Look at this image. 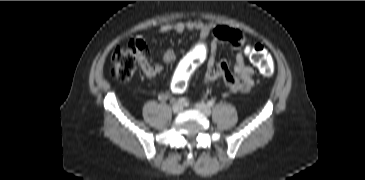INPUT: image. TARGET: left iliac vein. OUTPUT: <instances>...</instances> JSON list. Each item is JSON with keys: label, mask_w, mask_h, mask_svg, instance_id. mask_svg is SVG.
<instances>
[{"label": "left iliac vein", "mask_w": 365, "mask_h": 180, "mask_svg": "<svg viewBox=\"0 0 365 180\" xmlns=\"http://www.w3.org/2000/svg\"><path fill=\"white\" fill-rule=\"evenodd\" d=\"M194 108L204 114L205 116H209L211 114V109L205 103H197Z\"/></svg>", "instance_id": "obj_1"}]
</instances>
